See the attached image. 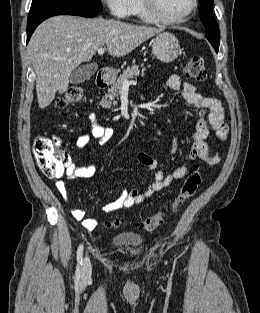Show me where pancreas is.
Instances as JSON below:
<instances>
[{
	"label": "pancreas",
	"mask_w": 260,
	"mask_h": 313,
	"mask_svg": "<svg viewBox=\"0 0 260 313\" xmlns=\"http://www.w3.org/2000/svg\"><path fill=\"white\" fill-rule=\"evenodd\" d=\"M146 70V68H142V73ZM139 66L133 65L131 67H127L126 70L113 82L112 86L108 89V92L105 93L100 101V106L103 108H110L112 105H117L118 97L122 90V83L125 80L132 79L139 75Z\"/></svg>",
	"instance_id": "obj_1"
}]
</instances>
